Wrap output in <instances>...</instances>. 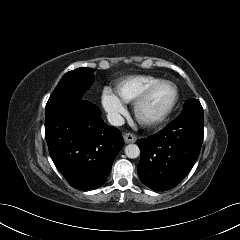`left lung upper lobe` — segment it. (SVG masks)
<instances>
[{
	"label": "left lung upper lobe",
	"mask_w": 240,
	"mask_h": 240,
	"mask_svg": "<svg viewBox=\"0 0 240 240\" xmlns=\"http://www.w3.org/2000/svg\"><path fill=\"white\" fill-rule=\"evenodd\" d=\"M194 104H200L199 100L191 99L190 101H186L184 104V107L189 105H194Z\"/></svg>",
	"instance_id": "1"
}]
</instances>
